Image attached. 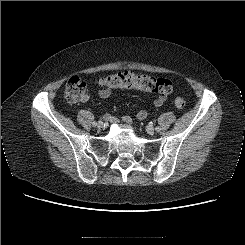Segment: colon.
Here are the masks:
<instances>
[{
    "label": "colon",
    "instance_id": "colon-1",
    "mask_svg": "<svg viewBox=\"0 0 245 245\" xmlns=\"http://www.w3.org/2000/svg\"><path fill=\"white\" fill-rule=\"evenodd\" d=\"M101 89L112 91L116 89H138L142 91L155 92L161 95H168L173 91L171 81L164 78H156L149 75H139L130 71L118 72L101 78L98 81ZM65 97L69 102L82 101L86 95V84L78 77H71L65 86ZM186 102L183 98L175 99V106L184 108Z\"/></svg>",
    "mask_w": 245,
    "mask_h": 245
}]
</instances>
